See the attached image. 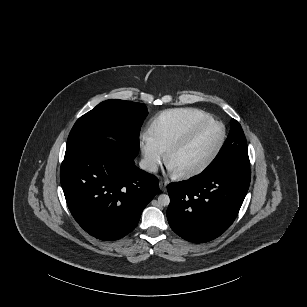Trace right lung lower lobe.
Masks as SVG:
<instances>
[{
    "label": "right lung lower lobe",
    "mask_w": 307,
    "mask_h": 307,
    "mask_svg": "<svg viewBox=\"0 0 307 307\" xmlns=\"http://www.w3.org/2000/svg\"><path fill=\"white\" fill-rule=\"evenodd\" d=\"M119 143L88 138L66 148L60 181L70 212L90 235L120 239L138 224L158 191V179L137 166Z\"/></svg>",
    "instance_id": "98d812e1"
}]
</instances>
